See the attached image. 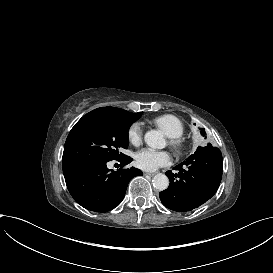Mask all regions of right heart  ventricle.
Here are the masks:
<instances>
[{
  "instance_id": "right-heart-ventricle-1",
  "label": "right heart ventricle",
  "mask_w": 273,
  "mask_h": 273,
  "mask_svg": "<svg viewBox=\"0 0 273 273\" xmlns=\"http://www.w3.org/2000/svg\"><path fill=\"white\" fill-rule=\"evenodd\" d=\"M152 123L164 130L170 138L181 137L185 124L184 122L174 114H162L153 118Z\"/></svg>"
}]
</instances>
